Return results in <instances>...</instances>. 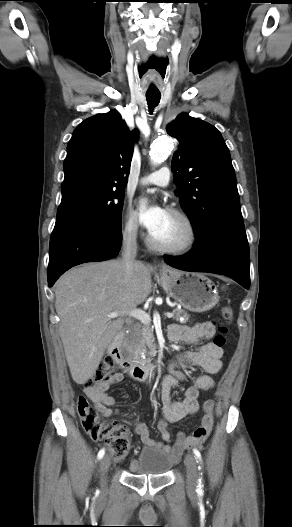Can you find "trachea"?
I'll list each match as a JSON object with an SVG mask.
<instances>
[{"mask_svg": "<svg viewBox=\"0 0 292 527\" xmlns=\"http://www.w3.org/2000/svg\"><path fill=\"white\" fill-rule=\"evenodd\" d=\"M146 99L149 105V109L150 111H152V109L159 104L161 95L160 94H146Z\"/></svg>", "mask_w": 292, "mask_h": 527, "instance_id": "obj_1", "label": "trachea"}]
</instances>
